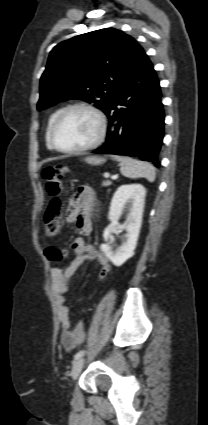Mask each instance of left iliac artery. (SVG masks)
<instances>
[{
	"label": "left iliac artery",
	"instance_id": "left-iliac-artery-1",
	"mask_svg": "<svg viewBox=\"0 0 208 425\" xmlns=\"http://www.w3.org/2000/svg\"><path fill=\"white\" fill-rule=\"evenodd\" d=\"M85 354L84 350L79 351L74 355V360H77L78 358L82 357Z\"/></svg>",
	"mask_w": 208,
	"mask_h": 425
}]
</instances>
